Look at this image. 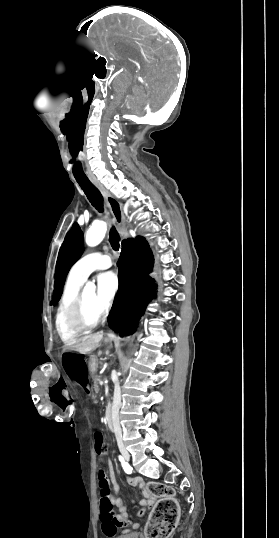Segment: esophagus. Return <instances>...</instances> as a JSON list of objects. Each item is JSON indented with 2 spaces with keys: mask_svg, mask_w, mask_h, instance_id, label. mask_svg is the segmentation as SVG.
Masks as SVG:
<instances>
[{
  "mask_svg": "<svg viewBox=\"0 0 279 538\" xmlns=\"http://www.w3.org/2000/svg\"><path fill=\"white\" fill-rule=\"evenodd\" d=\"M89 180L95 185L96 188L101 192V195H103V198L105 200V203L109 210L112 213L114 222L116 223V227L118 230V233L120 236L124 238H129V233L127 231L126 227V219L122 211V206L114 196H112L104 187L101 185V183L97 180L96 177L89 176ZM108 338H111L115 336V334L112 331H109L107 334Z\"/></svg>",
  "mask_w": 279,
  "mask_h": 538,
  "instance_id": "esophagus-1",
  "label": "esophagus"
}]
</instances>
